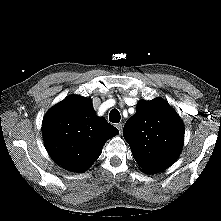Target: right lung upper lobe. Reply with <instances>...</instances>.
<instances>
[{
	"label": "right lung upper lobe",
	"instance_id": "obj_1",
	"mask_svg": "<svg viewBox=\"0 0 221 221\" xmlns=\"http://www.w3.org/2000/svg\"><path fill=\"white\" fill-rule=\"evenodd\" d=\"M119 133L105 118L97 117L89 98L72 95L44 116L42 134L52 159L62 168L84 172L100 156L102 147Z\"/></svg>",
	"mask_w": 221,
	"mask_h": 221
}]
</instances>
